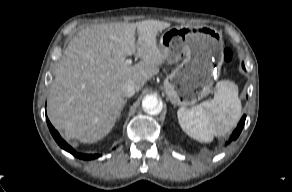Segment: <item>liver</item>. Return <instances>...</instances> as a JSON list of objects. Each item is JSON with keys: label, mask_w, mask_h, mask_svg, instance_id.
<instances>
[{"label": "liver", "mask_w": 292, "mask_h": 192, "mask_svg": "<svg viewBox=\"0 0 292 192\" xmlns=\"http://www.w3.org/2000/svg\"><path fill=\"white\" fill-rule=\"evenodd\" d=\"M168 27V22L144 20L91 25L79 31L66 47L50 87L51 123L66 137L84 143L104 138L124 107V84L132 82L139 91L165 62L166 53L158 47L156 36ZM133 54L141 60L126 64V57Z\"/></svg>", "instance_id": "6515ba94"}]
</instances>
